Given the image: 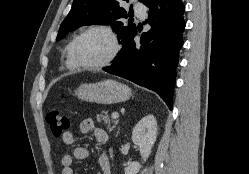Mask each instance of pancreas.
<instances>
[{
  "instance_id": "obj_1",
  "label": "pancreas",
  "mask_w": 249,
  "mask_h": 174,
  "mask_svg": "<svg viewBox=\"0 0 249 174\" xmlns=\"http://www.w3.org/2000/svg\"><path fill=\"white\" fill-rule=\"evenodd\" d=\"M97 121L102 122L106 125V128L109 132H111L117 125L118 121L111 120L110 117L107 115L106 112H102L101 114L97 115Z\"/></svg>"
}]
</instances>
